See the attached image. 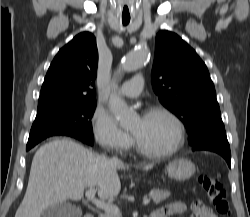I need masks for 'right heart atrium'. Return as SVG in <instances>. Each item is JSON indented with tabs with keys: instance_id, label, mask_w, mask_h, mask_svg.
<instances>
[{
	"instance_id": "obj_1",
	"label": "right heart atrium",
	"mask_w": 250,
	"mask_h": 217,
	"mask_svg": "<svg viewBox=\"0 0 250 217\" xmlns=\"http://www.w3.org/2000/svg\"><path fill=\"white\" fill-rule=\"evenodd\" d=\"M91 130L96 142L108 151L125 153L133 144L131 136L122 130L105 110L97 108L91 119Z\"/></svg>"
}]
</instances>
